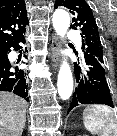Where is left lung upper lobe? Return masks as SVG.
Wrapping results in <instances>:
<instances>
[{
    "label": "left lung upper lobe",
    "mask_w": 117,
    "mask_h": 136,
    "mask_svg": "<svg viewBox=\"0 0 117 136\" xmlns=\"http://www.w3.org/2000/svg\"><path fill=\"white\" fill-rule=\"evenodd\" d=\"M58 6L67 7L74 15L71 27L73 29L79 28L82 32L84 56L92 55L101 64H104L103 47L90 6L84 0H56L54 7Z\"/></svg>",
    "instance_id": "obj_1"
}]
</instances>
